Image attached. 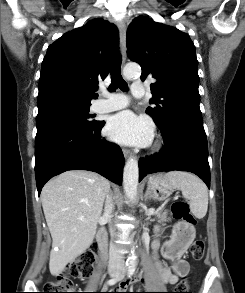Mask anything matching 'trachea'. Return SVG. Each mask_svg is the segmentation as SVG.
Listing matches in <instances>:
<instances>
[{
	"mask_svg": "<svg viewBox=\"0 0 245 293\" xmlns=\"http://www.w3.org/2000/svg\"><path fill=\"white\" fill-rule=\"evenodd\" d=\"M121 62L122 59L118 55L111 68V84L109 86V91L111 92H114L117 88H120L122 91L128 90V85L121 76Z\"/></svg>",
	"mask_w": 245,
	"mask_h": 293,
	"instance_id": "obj_1",
	"label": "trachea"
}]
</instances>
